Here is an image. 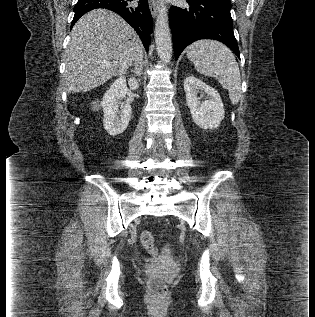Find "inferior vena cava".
Returning <instances> with one entry per match:
<instances>
[{
  "label": "inferior vena cava",
  "instance_id": "602c4592",
  "mask_svg": "<svg viewBox=\"0 0 315 317\" xmlns=\"http://www.w3.org/2000/svg\"><path fill=\"white\" fill-rule=\"evenodd\" d=\"M134 61H135V65L140 64L141 61H142V56H141V55H137V56L134 58Z\"/></svg>",
  "mask_w": 315,
  "mask_h": 317
}]
</instances>
